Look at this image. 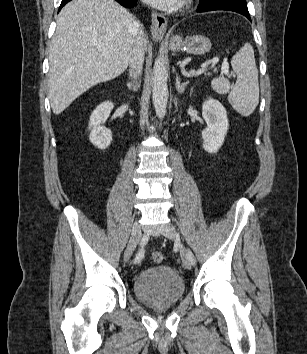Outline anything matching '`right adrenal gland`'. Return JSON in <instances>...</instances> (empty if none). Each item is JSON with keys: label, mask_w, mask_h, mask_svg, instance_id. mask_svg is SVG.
I'll return each instance as SVG.
<instances>
[{"label": "right adrenal gland", "mask_w": 307, "mask_h": 354, "mask_svg": "<svg viewBox=\"0 0 307 354\" xmlns=\"http://www.w3.org/2000/svg\"><path fill=\"white\" fill-rule=\"evenodd\" d=\"M127 86H128V88H129V89H131V85H130V83H127Z\"/></svg>", "instance_id": "1"}]
</instances>
